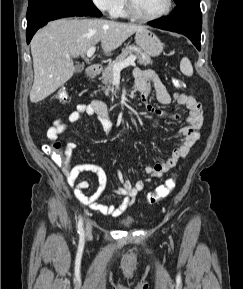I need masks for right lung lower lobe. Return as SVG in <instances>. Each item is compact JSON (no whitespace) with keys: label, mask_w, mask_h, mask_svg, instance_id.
<instances>
[{"label":"right lung lower lobe","mask_w":243,"mask_h":289,"mask_svg":"<svg viewBox=\"0 0 243 289\" xmlns=\"http://www.w3.org/2000/svg\"><path fill=\"white\" fill-rule=\"evenodd\" d=\"M71 16L99 17L101 13L87 0H30L27 12V43L35 32L51 20Z\"/></svg>","instance_id":"98d812e1"}]
</instances>
